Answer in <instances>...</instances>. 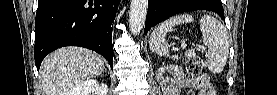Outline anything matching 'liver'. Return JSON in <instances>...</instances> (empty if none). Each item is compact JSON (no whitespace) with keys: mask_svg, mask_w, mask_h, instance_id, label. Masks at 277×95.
Here are the masks:
<instances>
[{"mask_svg":"<svg viewBox=\"0 0 277 95\" xmlns=\"http://www.w3.org/2000/svg\"><path fill=\"white\" fill-rule=\"evenodd\" d=\"M45 95H68L76 84L99 76L104 62L91 50L64 47L49 54L42 63Z\"/></svg>","mask_w":277,"mask_h":95,"instance_id":"1","label":"liver"}]
</instances>
